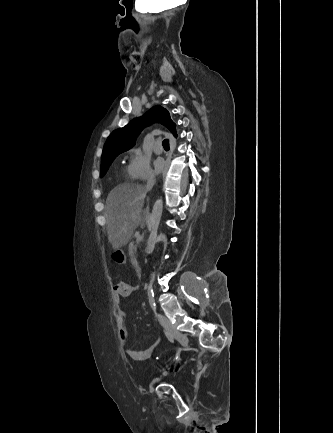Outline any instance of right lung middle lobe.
<instances>
[{"mask_svg": "<svg viewBox=\"0 0 333 433\" xmlns=\"http://www.w3.org/2000/svg\"><path fill=\"white\" fill-rule=\"evenodd\" d=\"M118 155H114L109 157L107 160L101 162V173L100 176L103 177L105 175V173L107 172L109 166L111 165V163L113 162V160L117 157Z\"/></svg>", "mask_w": 333, "mask_h": 433, "instance_id": "obj_1", "label": "right lung middle lobe"}]
</instances>
